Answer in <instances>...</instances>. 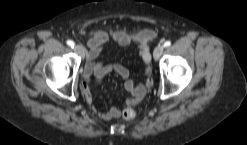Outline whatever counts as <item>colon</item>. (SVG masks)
Instances as JSON below:
<instances>
[{"instance_id": "colon-1", "label": "colon", "mask_w": 247, "mask_h": 145, "mask_svg": "<svg viewBox=\"0 0 247 145\" xmlns=\"http://www.w3.org/2000/svg\"><path fill=\"white\" fill-rule=\"evenodd\" d=\"M121 115H122V118L125 119V120H133L136 117V112L132 108H125L122 111Z\"/></svg>"}]
</instances>
